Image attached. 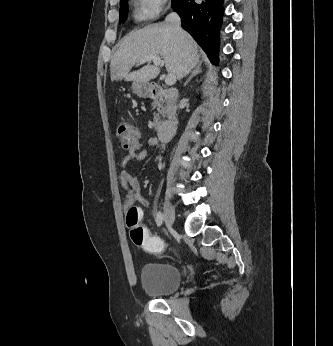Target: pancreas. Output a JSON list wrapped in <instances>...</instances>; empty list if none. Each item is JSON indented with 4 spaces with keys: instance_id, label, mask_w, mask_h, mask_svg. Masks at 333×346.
Returning a JSON list of instances; mask_svg holds the SVG:
<instances>
[{
    "instance_id": "cf45deb5",
    "label": "pancreas",
    "mask_w": 333,
    "mask_h": 346,
    "mask_svg": "<svg viewBox=\"0 0 333 346\" xmlns=\"http://www.w3.org/2000/svg\"><path fill=\"white\" fill-rule=\"evenodd\" d=\"M152 104L157 106L158 113L154 114V121L152 123L155 130H158L163 122L160 120V117L165 118L167 113V106L163 105L160 101H154Z\"/></svg>"
}]
</instances>
